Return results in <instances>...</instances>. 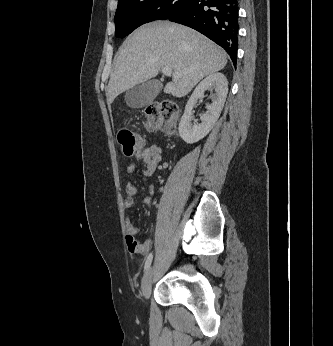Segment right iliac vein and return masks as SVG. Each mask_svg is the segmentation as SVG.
I'll list each match as a JSON object with an SVG mask.
<instances>
[{"label": "right iliac vein", "mask_w": 333, "mask_h": 346, "mask_svg": "<svg viewBox=\"0 0 333 346\" xmlns=\"http://www.w3.org/2000/svg\"><path fill=\"white\" fill-rule=\"evenodd\" d=\"M152 274H153V270L152 268H149L147 272L145 273L141 283V293L146 299L150 296V293H151Z\"/></svg>", "instance_id": "obj_1"}]
</instances>
